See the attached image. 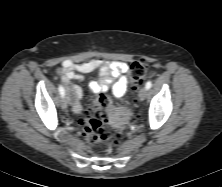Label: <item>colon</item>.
<instances>
[{"label":"colon","mask_w":222,"mask_h":187,"mask_svg":"<svg viewBox=\"0 0 222 187\" xmlns=\"http://www.w3.org/2000/svg\"><path fill=\"white\" fill-rule=\"evenodd\" d=\"M147 63L143 60L132 62L130 66V78L133 88L136 90L145 80ZM137 118L134 116L133 119ZM125 123V115L113 107L109 98L101 94L93 104L88 107L86 115L78 122L86 141L91 146L103 145L111 149L117 145L122 131L120 127ZM112 124L117 130L112 133L105 129L106 125Z\"/></svg>","instance_id":"5ec220e1"}]
</instances>
